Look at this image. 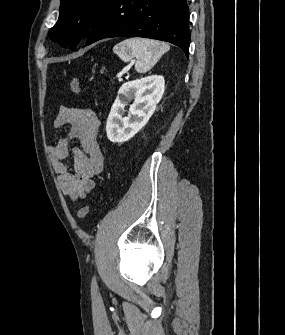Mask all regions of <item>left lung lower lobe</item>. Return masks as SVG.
Listing matches in <instances>:
<instances>
[{
  "label": "left lung lower lobe",
  "mask_w": 285,
  "mask_h": 335,
  "mask_svg": "<svg viewBox=\"0 0 285 335\" xmlns=\"http://www.w3.org/2000/svg\"><path fill=\"white\" fill-rule=\"evenodd\" d=\"M187 0H111L89 31L85 46L111 37L167 41L189 55Z\"/></svg>",
  "instance_id": "obj_1"
}]
</instances>
